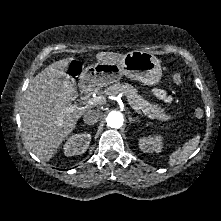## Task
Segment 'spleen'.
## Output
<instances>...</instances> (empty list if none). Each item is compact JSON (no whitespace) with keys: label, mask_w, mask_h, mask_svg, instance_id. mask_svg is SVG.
Masks as SVG:
<instances>
[{"label":"spleen","mask_w":221,"mask_h":221,"mask_svg":"<svg viewBox=\"0 0 221 221\" xmlns=\"http://www.w3.org/2000/svg\"><path fill=\"white\" fill-rule=\"evenodd\" d=\"M199 139L200 136L197 135L196 137L185 143L182 148H177L175 151H173V153L169 157L168 164L170 166H174L185 161L198 146Z\"/></svg>","instance_id":"3e777b00"}]
</instances>
